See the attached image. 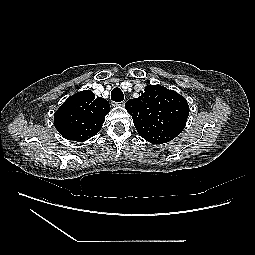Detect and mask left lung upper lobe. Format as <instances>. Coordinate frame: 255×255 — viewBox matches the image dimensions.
<instances>
[{
    "instance_id": "left-lung-upper-lobe-1",
    "label": "left lung upper lobe",
    "mask_w": 255,
    "mask_h": 255,
    "mask_svg": "<svg viewBox=\"0 0 255 255\" xmlns=\"http://www.w3.org/2000/svg\"><path fill=\"white\" fill-rule=\"evenodd\" d=\"M137 132L146 141L163 144L184 129L189 115L186 99L160 85H148L136 99L125 104Z\"/></svg>"
}]
</instances>
